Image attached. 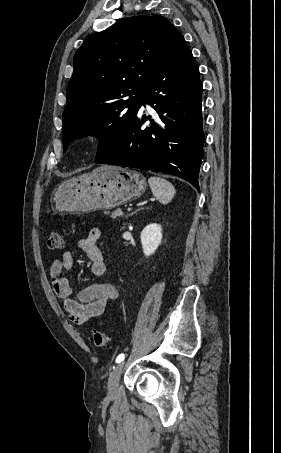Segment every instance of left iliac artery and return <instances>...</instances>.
Masks as SVG:
<instances>
[{
  "label": "left iliac artery",
  "instance_id": "1",
  "mask_svg": "<svg viewBox=\"0 0 281 453\" xmlns=\"http://www.w3.org/2000/svg\"><path fill=\"white\" fill-rule=\"evenodd\" d=\"M124 360V354H120L117 358H116V363H120L121 361Z\"/></svg>",
  "mask_w": 281,
  "mask_h": 453
}]
</instances>
